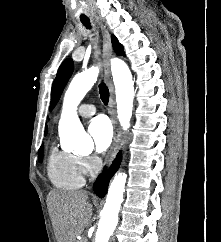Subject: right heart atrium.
I'll list each match as a JSON object with an SVG mask.
<instances>
[{
    "label": "right heart atrium",
    "instance_id": "right-heart-atrium-1",
    "mask_svg": "<svg viewBox=\"0 0 221 242\" xmlns=\"http://www.w3.org/2000/svg\"><path fill=\"white\" fill-rule=\"evenodd\" d=\"M79 166L82 174H92L94 173L100 165L99 160L94 156H82L79 157Z\"/></svg>",
    "mask_w": 221,
    "mask_h": 242
}]
</instances>
